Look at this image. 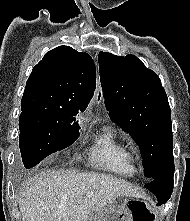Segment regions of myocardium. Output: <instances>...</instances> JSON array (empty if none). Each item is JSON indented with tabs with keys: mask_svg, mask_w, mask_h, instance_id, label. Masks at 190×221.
Here are the masks:
<instances>
[{
	"mask_svg": "<svg viewBox=\"0 0 190 221\" xmlns=\"http://www.w3.org/2000/svg\"><path fill=\"white\" fill-rule=\"evenodd\" d=\"M134 159H135V160H141V159H142L141 154H140V153L134 154Z\"/></svg>",
	"mask_w": 190,
	"mask_h": 221,
	"instance_id": "myocardium-1",
	"label": "myocardium"
}]
</instances>
